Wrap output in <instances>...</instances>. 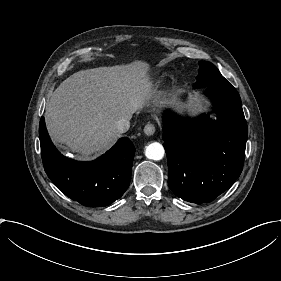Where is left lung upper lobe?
Here are the masks:
<instances>
[{
    "instance_id": "left-lung-upper-lobe-1",
    "label": "left lung upper lobe",
    "mask_w": 281,
    "mask_h": 281,
    "mask_svg": "<svg viewBox=\"0 0 281 281\" xmlns=\"http://www.w3.org/2000/svg\"><path fill=\"white\" fill-rule=\"evenodd\" d=\"M199 74L196 77L194 88L215 86H231V84L221 75L217 67L207 61L199 62Z\"/></svg>"
}]
</instances>
